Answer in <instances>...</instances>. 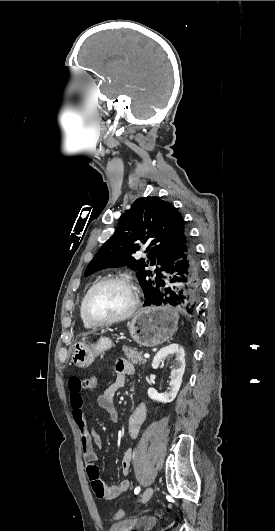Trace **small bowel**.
Masks as SVG:
<instances>
[{
  "label": "small bowel",
  "mask_w": 275,
  "mask_h": 531,
  "mask_svg": "<svg viewBox=\"0 0 275 531\" xmlns=\"http://www.w3.org/2000/svg\"><path fill=\"white\" fill-rule=\"evenodd\" d=\"M115 370L116 377L114 381L97 397L98 407L107 412L112 422H118L119 420L114 397L126 385L127 377L135 374V367L128 360L118 358L115 360ZM67 380L69 382L67 392L70 394L69 401L72 409V418L79 431L82 454L86 462V473L90 480L91 488L98 499L104 501L113 500L129 489L130 481L123 479L118 484L109 486L105 485L101 480L99 469L96 465L98 453L95 449V447H101V439L86 422L81 395H72L81 392L82 375L80 373H69ZM146 418L147 406L144 402H140L129 418L128 434L131 438H137L140 435ZM133 458L134 450L132 448L124 450L120 461L123 475L126 476L130 473Z\"/></svg>",
  "instance_id": "c3829d8e"
}]
</instances>
